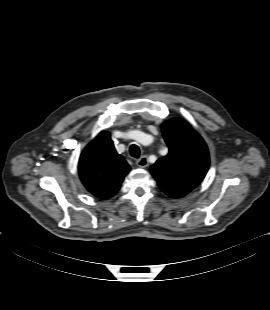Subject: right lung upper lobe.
<instances>
[{
	"instance_id": "obj_1",
	"label": "right lung upper lobe",
	"mask_w": 270,
	"mask_h": 310,
	"mask_svg": "<svg viewBox=\"0 0 270 310\" xmlns=\"http://www.w3.org/2000/svg\"><path fill=\"white\" fill-rule=\"evenodd\" d=\"M78 171L82 183L91 194L108 199L117 193L130 167L116 152L110 134L102 131L83 150Z\"/></svg>"
}]
</instances>
